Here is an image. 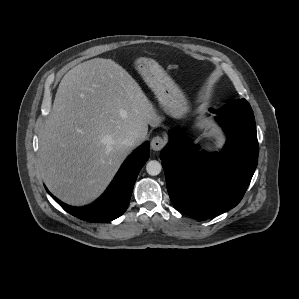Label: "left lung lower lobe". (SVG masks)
Listing matches in <instances>:
<instances>
[{
  "instance_id": "1",
  "label": "left lung lower lobe",
  "mask_w": 299,
  "mask_h": 299,
  "mask_svg": "<svg viewBox=\"0 0 299 299\" xmlns=\"http://www.w3.org/2000/svg\"><path fill=\"white\" fill-rule=\"evenodd\" d=\"M216 114L227 137L222 151H199L175 133L170 134L169 143L160 154L172 204L197 219L235 207L243 198L258 162L254 115Z\"/></svg>"
}]
</instances>
